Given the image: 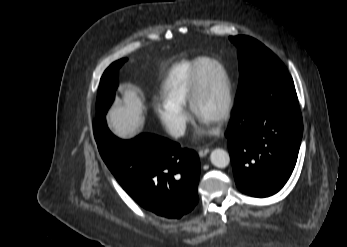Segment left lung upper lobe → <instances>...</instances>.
Segmentation results:
<instances>
[{
  "label": "left lung upper lobe",
  "mask_w": 347,
  "mask_h": 247,
  "mask_svg": "<svg viewBox=\"0 0 347 247\" xmlns=\"http://www.w3.org/2000/svg\"><path fill=\"white\" fill-rule=\"evenodd\" d=\"M238 48L239 86L236 103L262 81L280 73H288L280 59L262 43L248 36L229 38Z\"/></svg>",
  "instance_id": "5c2ea615"
}]
</instances>
